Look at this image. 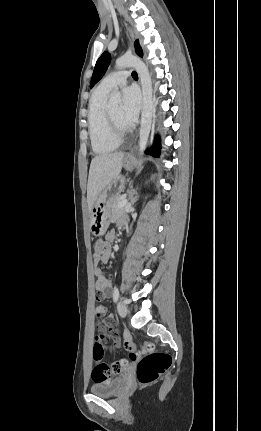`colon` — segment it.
<instances>
[{
	"mask_svg": "<svg viewBox=\"0 0 261 431\" xmlns=\"http://www.w3.org/2000/svg\"><path fill=\"white\" fill-rule=\"evenodd\" d=\"M109 253V244L107 241L98 239L93 244L94 258H100ZM96 294V293H95ZM151 343L145 344L143 348H138L135 354H129L131 361H137V379L140 384L148 385L155 382L171 366L172 358L163 352H153ZM102 345L95 342L93 357L95 365L91 371V382L100 386L112 380L116 382L119 379L117 373L126 371V360H113L112 364L103 362Z\"/></svg>",
	"mask_w": 261,
	"mask_h": 431,
	"instance_id": "obj_1",
	"label": "colon"
}]
</instances>
